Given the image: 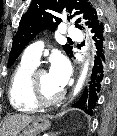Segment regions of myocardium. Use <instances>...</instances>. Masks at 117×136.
I'll return each mask as SVG.
<instances>
[{"mask_svg": "<svg viewBox=\"0 0 117 136\" xmlns=\"http://www.w3.org/2000/svg\"><path fill=\"white\" fill-rule=\"evenodd\" d=\"M46 70L44 68H36L30 78V95L33 100V102L38 107H48L55 105L59 103L65 96V91L62 90L56 97L52 99H45L40 91L39 85H38V77L40 74L45 73Z\"/></svg>", "mask_w": 117, "mask_h": 136, "instance_id": "f54148a6", "label": "myocardium"}]
</instances>
